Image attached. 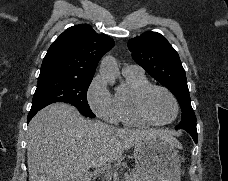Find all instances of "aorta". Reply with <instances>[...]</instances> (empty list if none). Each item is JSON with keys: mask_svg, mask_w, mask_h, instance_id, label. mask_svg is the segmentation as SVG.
<instances>
[{"mask_svg": "<svg viewBox=\"0 0 228 181\" xmlns=\"http://www.w3.org/2000/svg\"><path fill=\"white\" fill-rule=\"evenodd\" d=\"M100 74L108 80L110 84H114L116 77L119 74L116 60L110 56H105L100 65Z\"/></svg>", "mask_w": 228, "mask_h": 181, "instance_id": "1", "label": "aorta"}]
</instances>
